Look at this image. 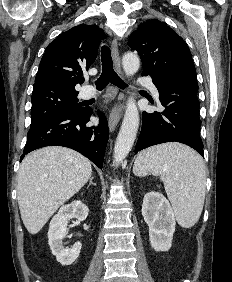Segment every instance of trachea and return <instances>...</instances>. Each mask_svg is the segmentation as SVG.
Listing matches in <instances>:
<instances>
[{
  "label": "trachea",
  "instance_id": "obj_1",
  "mask_svg": "<svg viewBox=\"0 0 232 282\" xmlns=\"http://www.w3.org/2000/svg\"><path fill=\"white\" fill-rule=\"evenodd\" d=\"M101 62L102 73L95 82L96 89L99 91L103 90L109 84V82L122 89L125 88L127 85L120 79L113 69L111 51L106 45L101 48Z\"/></svg>",
  "mask_w": 232,
  "mask_h": 282
}]
</instances>
